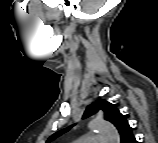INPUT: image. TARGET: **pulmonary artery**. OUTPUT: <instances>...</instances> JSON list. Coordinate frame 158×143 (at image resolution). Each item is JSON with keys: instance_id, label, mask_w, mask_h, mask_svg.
<instances>
[{"instance_id": "1", "label": "pulmonary artery", "mask_w": 158, "mask_h": 143, "mask_svg": "<svg viewBox=\"0 0 158 143\" xmlns=\"http://www.w3.org/2000/svg\"><path fill=\"white\" fill-rule=\"evenodd\" d=\"M82 140L86 142H93V141L102 140V139L95 138L94 136H84Z\"/></svg>"}]
</instances>
